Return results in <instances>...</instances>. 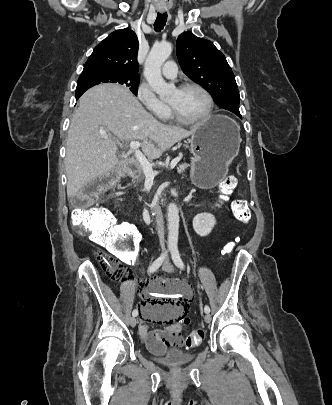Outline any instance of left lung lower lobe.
Segmentation results:
<instances>
[{
	"label": "left lung lower lobe",
	"mask_w": 332,
	"mask_h": 405,
	"mask_svg": "<svg viewBox=\"0 0 332 405\" xmlns=\"http://www.w3.org/2000/svg\"><path fill=\"white\" fill-rule=\"evenodd\" d=\"M231 112H233L234 114H236L238 117L241 118V114H240V112H239V105L234 106V107L232 108V111H231Z\"/></svg>",
	"instance_id": "obj_1"
}]
</instances>
